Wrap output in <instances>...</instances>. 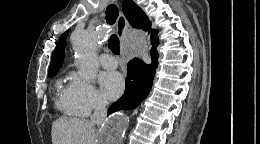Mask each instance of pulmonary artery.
<instances>
[{"label": "pulmonary artery", "instance_id": "e3ab8cb5", "mask_svg": "<svg viewBox=\"0 0 260 144\" xmlns=\"http://www.w3.org/2000/svg\"><path fill=\"white\" fill-rule=\"evenodd\" d=\"M100 63L105 69H115L118 66V62L111 54H102L100 56Z\"/></svg>", "mask_w": 260, "mask_h": 144}]
</instances>
